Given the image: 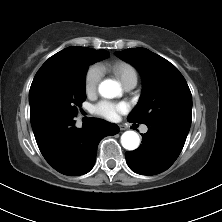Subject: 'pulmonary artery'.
Segmentation results:
<instances>
[{
    "instance_id": "pulmonary-artery-1",
    "label": "pulmonary artery",
    "mask_w": 222,
    "mask_h": 222,
    "mask_svg": "<svg viewBox=\"0 0 222 222\" xmlns=\"http://www.w3.org/2000/svg\"><path fill=\"white\" fill-rule=\"evenodd\" d=\"M135 86H136L135 83H128V84L124 85V89H125L126 91H130V90H132ZM147 130H148V128H147L146 126H143V127L141 128V131H142L143 133H146Z\"/></svg>"
}]
</instances>
